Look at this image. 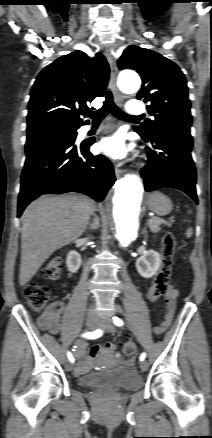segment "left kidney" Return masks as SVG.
<instances>
[{"mask_svg": "<svg viewBox=\"0 0 212 438\" xmlns=\"http://www.w3.org/2000/svg\"><path fill=\"white\" fill-rule=\"evenodd\" d=\"M161 264L160 254L154 250L146 251L136 260L138 273L144 278H151L156 274Z\"/></svg>", "mask_w": 212, "mask_h": 438, "instance_id": "5707ae66", "label": "left kidney"}]
</instances>
